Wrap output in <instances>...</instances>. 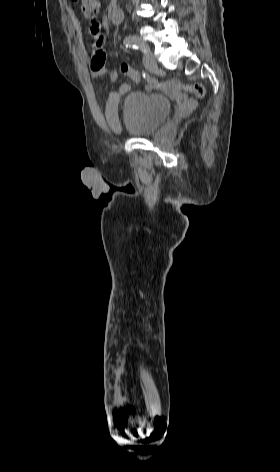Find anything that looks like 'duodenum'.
Segmentation results:
<instances>
[{
    "mask_svg": "<svg viewBox=\"0 0 280 472\" xmlns=\"http://www.w3.org/2000/svg\"><path fill=\"white\" fill-rule=\"evenodd\" d=\"M124 19V13L120 8H113L111 15H110V21L114 25L120 24Z\"/></svg>",
    "mask_w": 280,
    "mask_h": 472,
    "instance_id": "duodenum-1",
    "label": "duodenum"
}]
</instances>
